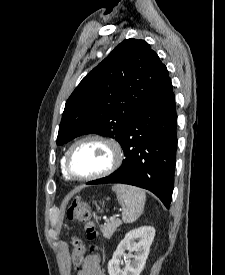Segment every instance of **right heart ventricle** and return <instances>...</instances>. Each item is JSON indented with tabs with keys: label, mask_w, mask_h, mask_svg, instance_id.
<instances>
[{
	"label": "right heart ventricle",
	"mask_w": 225,
	"mask_h": 275,
	"mask_svg": "<svg viewBox=\"0 0 225 275\" xmlns=\"http://www.w3.org/2000/svg\"><path fill=\"white\" fill-rule=\"evenodd\" d=\"M61 170H62V174L64 175V177L68 178L69 176L67 175V173L64 170V159H62V161H61Z\"/></svg>",
	"instance_id": "e07e8e85"
}]
</instances>
